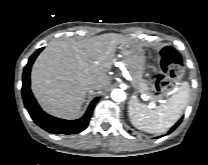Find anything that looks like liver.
<instances>
[{
    "label": "liver",
    "mask_w": 208,
    "mask_h": 165,
    "mask_svg": "<svg viewBox=\"0 0 208 165\" xmlns=\"http://www.w3.org/2000/svg\"><path fill=\"white\" fill-rule=\"evenodd\" d=\"M131 44L120 34L108 33L79 42L53 41L37 57L31 72L32 91L50 114L71 119L84 103L87 87L103 90L118 45Z\"/></svg>",
    "instance_id": "6515ba94"
}]
</instances>
